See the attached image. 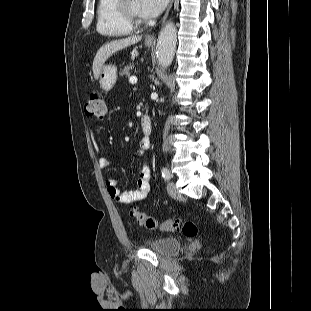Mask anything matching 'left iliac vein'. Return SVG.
I'll list each match as a JSON object with an SVG mask.
<instances>
[{"instance_id": "left-iliac-vein-1", "label": "left iliac vein", "mask_w": 311, "mask_h": 311, "mask_svg": "<svg viewBox=\"0 0 311 311\" xmlns=\"http://www.w3.org/2000/svg\"><path fill=\"white\" fill-rule=\"evenodd\" d=\"M167 191L169 193V195L173 198H179L180 197V193L178 192L175 184L173 182H168L167 184Z\"/></svg>"}]
</instances>
